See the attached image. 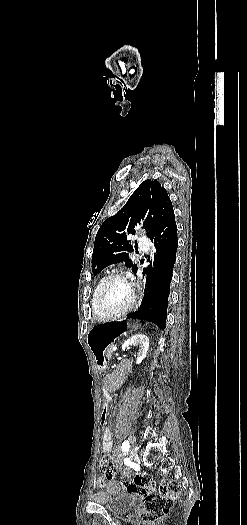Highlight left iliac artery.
Returning a JSON list of instances; mask_svg holds the SVG:
<instances>
[{"mask_svg":"<svg viewBox=\"0 0 247 525\" xmlns=\"http://www.w3.org/2000/svg\"><path fill=\"white\" fill-rule=\"evenodd\" d=\"M129 449H130V443H129V441L126 440V441H124L122 443V452H123V454L124 455L128 454Z\"/></svg>","mask_w":247,"mask_h":525,"instance_id":"44dca946","label":"left iliac artery"}]
</instances>
